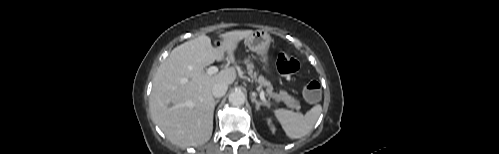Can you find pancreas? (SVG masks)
I'll return each mask as SVG.
<instances>
[{
  "mask_svg": "<svg viewBox=\"0 0 499 154\" xmlns=\"http://www.w3.org/2000/svg\"><path fill=\"white\" fill-rule=\"evenodd\" d=\"M244 63L247 66L248 73L252 78L255 79L260 85V87H265V93L270 98L275 99L276 101H283L289 108L299 110L301 108L300 103L292 96L288 95L286 91H280L279 93L273 92L272 84L266 80L263 76H259L257 78V73L254 70V64L249 60H244Z\"/></svg>",
  "mask_w": 499,
  "mask_h": 154,
  "instance_id": "cf45deb5",
  "label": "pancreas"
}]
</instances>
